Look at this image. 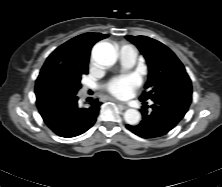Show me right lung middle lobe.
Returning <instances> with one entry per match:
<instances>
[{"label":"right lung middle lobe","mask_w":222,"mask_h":187,"mask_svg":"<svg viewBox=\"0 0 222 187\" xmlns=\"http://www.w3.org/2000/svg\"><path fill=\"white\" fill-rule=\"evenodd\" d=\"M57 69L64 75L75 91H78L81 88L80 81L82 75L88 73V69L79 68L72 64L63 65L59 63Z\"/></svg>","instance_id":"right-lung-middle-lobe-1"}]
</instances>
